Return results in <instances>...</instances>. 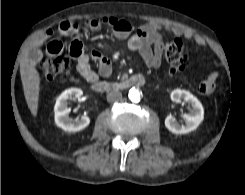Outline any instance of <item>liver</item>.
Returning <instances> with one entry per match:
<instances>
[{"instance_id": "liver-1", "label": "liver", "mask_w": 245, "mask_h": 195, "mask_svg": "<svg viewBox=\"0 0 245 195\" xmlns=\"http://www.w3.org/2000/svg\"><path fill=\"white\" fill-rule=\"evenodd\" d=\"M20 75L28 108L30 109L32 115L35 117L38 112L40 91L39 73L35 69L34 65L25 58L20 64Z\"/></svg>"}]
</instances>
